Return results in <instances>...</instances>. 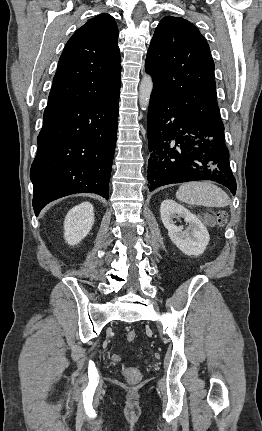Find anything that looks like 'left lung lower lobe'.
I'll use <instances>...</instances> for the list:
<instances>
[{"instance_id":"left-lung-lower-lobe-1","label":"left lung lower lobe","mask_w":262,"mask_h":431,"mask_svg":"<svg viewBox=\"0 0 262 431\" xmlns=\"http://www.w3.org/2000/svg\"><path fill=\"white\" fill-rule=\"evenodd\" d=\"M149 190L173 183L211 180L235 194L224 126L197 123L185 110L153 89L148 110Z\"/></svg>"}]
</instances>
